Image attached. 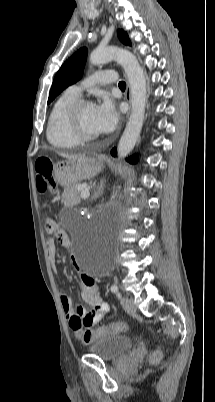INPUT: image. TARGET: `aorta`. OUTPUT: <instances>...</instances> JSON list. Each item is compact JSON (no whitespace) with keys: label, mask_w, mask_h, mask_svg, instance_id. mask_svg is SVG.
Listing matches in <instances>:
<instances>
[{"label":"aorta","mask_w":215,"mask_h":402,"mask_svg":"<svg viewBox=\"0 0 215 402\" xmlns=\"http://www.w3.org/2000/svg\"><path fill=\"white\" fill-rule=\"evenodd\" d=\"M111 60H115L123 67L131 89V115L117 147L118 156L126 157L134 148L143 126L147 94L146 78L137 58L127 50L110 46L96 49L90 54V62L93 65L104 64Z\"/></svg>","instance_id":"aorta-1"}]
</instances>
